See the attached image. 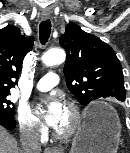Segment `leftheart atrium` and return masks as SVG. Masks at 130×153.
I'll use <instances>...</instances> for the list:
<instances>
[{"label":"left heart atrium","instance_id":"39dd6f15","mask_svg":"<svg viewBox=\"0 0 130 153\" xmlns=\"http://www.w3.org/2000/svg\"><path fill=\"white\" fill-rule=\"evenodd\" d=\"M62 110H63L62 103L54 96L50 97L46 105V112L44 115L45 122L49 126L54 127L60 119Z\"/></svg>","mask_w":130,"mask_h":153}]
</instances>
